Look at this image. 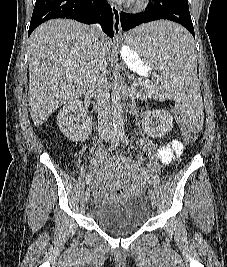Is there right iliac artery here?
Returning <instances> with one entry per match:
<instances>
[{"mask_svg":"<svg viewBox=\"0 0 227 267\" xmlns=\"http://www.w3.org/2000/svg\"><path fill=\"white\" fill-rule=\"evenodd\" d=\"M119 138H120L119 137V134L117 132H114L113 138H112V141H111V146L108 148L107 153L111 152L112 150H114L118 146V144H119ZM90 179H91V175L89 174L86 177V184H89L90 183Z\"/></svg>","mask_w":227,"mask_h":267,"instance_id":"right-iliac-artery-1","label":"right iliac artery"}]
</instances>
